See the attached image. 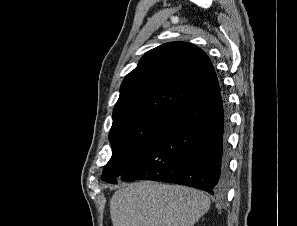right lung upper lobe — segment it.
Masks as SVG:
<instances>
[{
    "label": "right lung upper lobe",
    "mask_w": 297,
    "mask_h": 226,
    "mask_svg": "<svg viewBox=\"0 0 297 226\" xmlns=\"http://www.w3.org/2000/svg\"><path fill=\"white\" fill-rule=\"evenodd\" d=\"M221 91L207 54L187 42H170L148 51L123 80L113 123L144 114H173Z\"/></svg>",
    "instance_id": "cb5924a9"
}]
</instances>
